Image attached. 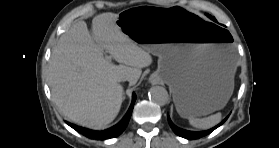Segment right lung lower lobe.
<instances>
[{
  "instance_id": "obj_1",
  "label": "right lung lower lobe",
  "mask_w": 279,
  "mask_h": 148,
  "mask_svg": "<svg viewBox=\"0 0 279 148\" xmlns=\"http://www.w3.org/2000/svg\"><path fill=\"white\" fill-rule=\"evenodd\" d=\"M135 100H136V96L133 95L131 106H130L128 112L126 113V115L124 116V118L118 124H116L115 126L109 128L107 130L94 131V130H90V129H86V128H82V127L73 125L69 122H66V123L73 129L84 134L86 137H88L90 139L105 140V139H109V138H115V137L119 136L127 127L132 110H133Z\"/></svg>"
}]
</instances>
